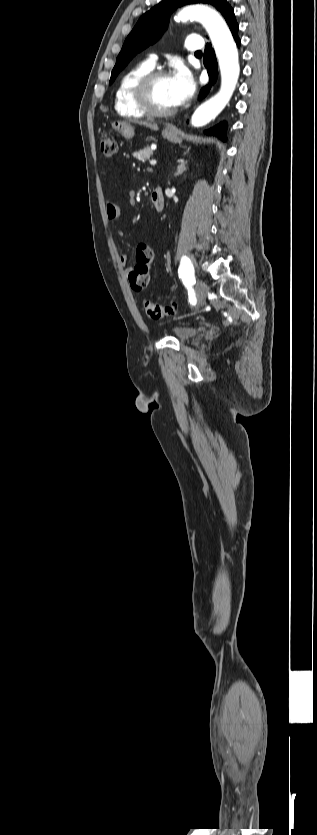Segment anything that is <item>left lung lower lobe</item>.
<instances>
[{"label": "left lung lower lobe", "instance_id": "1", "mask_svg": "<svg viewBox=\"0 0 317 835\" xmlns=\"http://www.w3.org/2000/svg\"><path fill=\"white\" fill-rule=\"evenodd\" d=\"M225 20H226L227 24L229 25V28L232 32V35H233L237 45L239 46L240 45V39L237 35L238 24L236 22L233 9H231L229 11ZM204 65L207 68V71H208V74H209V85L204 87L201 90L200 98H203L209 92V89H210L211 85L216 81L217 76H218V65H217L214 50L211 48V44L206 45V48H205V51H204ZM225 129H226V124L221 123V124L211 128V129L205 131V133L208 134V135H216V136H218L219 138H221L222 140L225 141L226 140Z\"/></svg>", "mask_w": 317, "mask_h": 835}]
</instances>
